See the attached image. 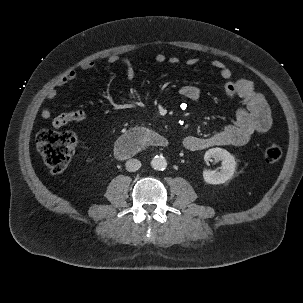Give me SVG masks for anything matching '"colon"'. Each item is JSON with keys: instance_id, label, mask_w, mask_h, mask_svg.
<instances>
[{"instance_id": "5ec220e1", "label": "colon", "mask_w": 303, "mask_h": 303, "mask_svg": "<svg viewBox=\"0 0 303 303\" xmlns=\"http://www.w3.org/2000/svg\"><path fill=\"white\" fill-rule=\"evenodd\" d=\"M77 142L72 131L43 129L36 137V147L46 166L53 174L62 173L68 166ZM282 156L281 147L276 143L269 144L264 150V160L273 164Z\"/></svg>"}]
</instances>
